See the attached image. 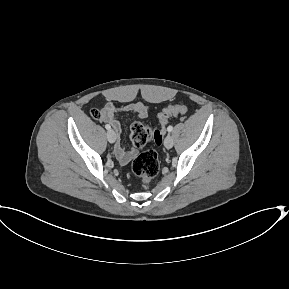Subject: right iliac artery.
Wrapping results in <instances>:
<instances>
[{
	"mask_svg": "<svg viewBox=\"0 0 289 289\" xmlns=\"http://www.w3.org/2000/svg\"><path fill=\"white\" fill-rule=\"evenodd\" d=\"M105 128H106L107 130H110V129H111V126H110L109 124H106V125H105Z\"/></svg>",
	"mask_w": 289,
	"mask_h": 289,
	"instance_id": "obj_1",
	"label": "right iliac artery"
}]
</instances>
